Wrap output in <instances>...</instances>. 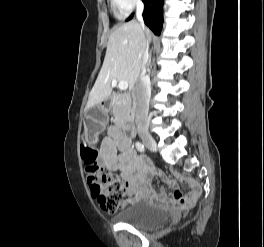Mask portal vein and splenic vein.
<instances>
[{
	"instance_id": "obj_1",
	"label": "portal vein and splenic vein",
	"mask_w": 264,
	"mask_h": 247,
	"mask_svg": "<svg viewBox=\"0 0 264 247\" xmlns=\"http://www.w3.org/2000/svg\"><path fill=\"white\" fill-rule=\"evenodd\" d=\"M116 84H117V81L116 80H113L112 81V86L115 87ZM118 88L120 90H126L128 88V82H126V81H119Z\"/></svg>"
}]
</instances>
